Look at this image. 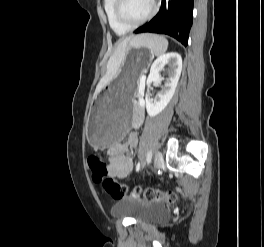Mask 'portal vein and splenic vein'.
<instances>
[{
    "instance_id": "18ae733b",
    "label": "portal vein and splenic vein",
    "mask_w": 264,
    "mask_h": 247,
    "mask_svg": "<svg viewBox=\"0 0 264 247\" xmlns=\"http://www.w3.org/2000/svg\"><path fill=\"white\" fill-rule=\"evenodd\" d=\"M145 79H146V76H145L144 74H142V75L140 76V81L143 82Z\"/></svg>"
}]
</instances>
